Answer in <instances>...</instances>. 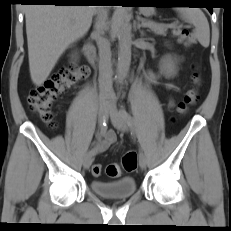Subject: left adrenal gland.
Returning a JSON list of instances; mask_svg holds the SVG:
<instances>
[{
    "label": "left adrenal gland",
    "instance_id": "1",
    "mask_svg": "<svg viewBox=\"0 0 231 231\" xmlns=\"http://www.w3.org/2000/svg\"><path fill=\"white\" fill-rule=\"evenodd\" d=\"M138 29H139V31H140L141 36L143 37L145 34H144L143 31L140 30V25H138Z\"/></svg>",
    "mask_w": 231,
    "mask_h": 231
}]
</instances>
